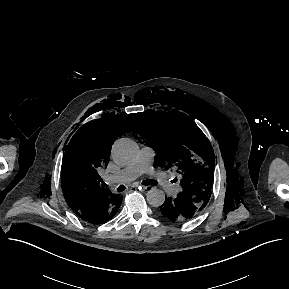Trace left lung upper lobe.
Listing matches in <instances>:
<instances>
[{"label": "left lung upper lobe", "instance_id": "obj_1", "mask_svg": "<svg viewBox=\"0 0 289 289\" xmlns=\"http://www.w3.org/2000/svg\"><path fill=\"white\" fill-rule=\"evenodd\" d=\"M143 137L157 153L155 162L180 174V194L205 208L214 178V152L203 132L187 115L147 111L139 115Z\"/></svg>", "mask_w": 289, "mask_h": 289}]
</instances>
